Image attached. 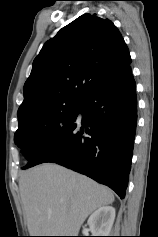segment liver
<instances>
[{
	"mask_svg": "<svg viewBox=\"0 0 158 237\" xmlns=\"http://www.w3.org/2000/svg\"><path fill=\"white\" fill-rule=\"evenodd\" d=\"M19 189L30 236H77L92 212L114 201L106 186L52 163L23 172Z\"/></svg>",
	"mask_w": 158,
	"mask_h": 237,
	"instance_id": "obj_1",
	"label": "liver"
}]
</instances>
